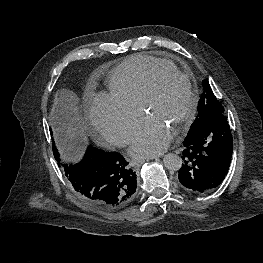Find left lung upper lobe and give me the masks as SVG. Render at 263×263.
<instances>
[{
  "label": "left lung upper lobe",
  "instance_id": "left-lung-upper-lobe-1",
  "mask_svg": "<svg viewBox=\"0 0 263 263\" xmlns=\"http://www.w3.org/2000/svg\"><path fill=\"white\" fill-rule=\"evenodd\" d=\"M197 111L198 115L192 123L188 135L198 133L208 120L219 114H224V108L215 97L206 79L203 80V93L198 102Z\"/></svg>",
  "mask_w": 263,
  "mask_h": 263
}]
</instances>
